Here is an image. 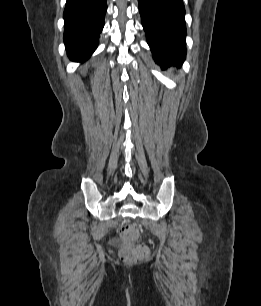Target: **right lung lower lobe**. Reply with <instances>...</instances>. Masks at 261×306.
<instances>
[{"label": "right lung lower lobe", "mask_w": 261, "mask_h": 306, "mask_svg": "<svg viewBox=\"0 0 261 306\" xmlns=\"http://www.w3.org/2000/svg\"><path fill=\"white\" fill-rule=\"evenodd\" d=\"M106 10V0H67L64 42L70 59L81 61L95 51Z\"/></svg>", "instance_id": "obj_1"}]
</instances>
